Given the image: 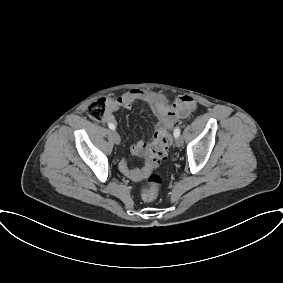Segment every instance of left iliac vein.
I'll list each match as a JSON object with an SVG mask.
<instances>
[{"mask_svg":"<svg viewBox=\"0 0 283 283\" xmlns=\"http://www.w3.org/2000/svg\"><path fill=\"white\" fill-rule=\"evenodd\" d=\"M175 145L181 147L183 145V138L181 136L177 137L175 140Z\"/></svg>","mask_w":283,"mask_h":283,"instance_id":"obj_1","label":"left iliac vein"}]
</instances>
